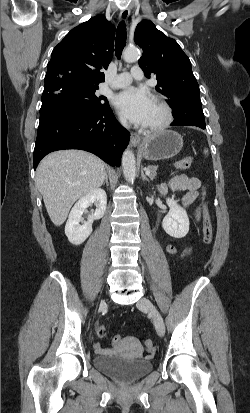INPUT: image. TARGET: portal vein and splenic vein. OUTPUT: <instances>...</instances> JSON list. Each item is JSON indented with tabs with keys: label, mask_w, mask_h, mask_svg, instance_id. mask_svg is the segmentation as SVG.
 <instances>
[{
	"label": "portal vein and splenic vein",
	"mask_w": 250,
	"mask_h": 413,
	"mask_svg": "<svg viewBox=\"0 0 250 413\" xmlns=\"http://www.w3.org/2000/svg\"><path fill=\"white\" fill-rule=\"evenodd\" d=\"M145 170H146V174H147V175H150V171L147 170L146 168H145Z\"/></svg>",
	"instance_id": "portal-vein-and-splenic-vein-1"
}]
</instances>
